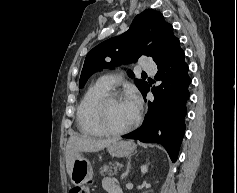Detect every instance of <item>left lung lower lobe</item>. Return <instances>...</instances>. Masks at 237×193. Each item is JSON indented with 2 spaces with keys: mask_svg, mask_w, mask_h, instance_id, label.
Segmentation results:
<instances>
[{
  "mask_svg": "<svg viewBox=\"0 0 237 193\" xmlns=\"http://www.w3.org/2000/svg\"><path fill=\"white\" fill-rule=\"evenodd\" d=\"M156 64L158 72L155 78L162 83L152 88L155 99L148 102L143 125L122 137L161 144L175 162L185 132L184 117L189 98L188 86L191 83L184 51L178 39ZM149 90L150 86L147 85L142 92L144 98Z\"/></svg>",
  "mask_w": 237,
  "mask_h": 193,
  "instance_id": "1",
  "label": "left lung lower lobe"
}]
</instances>
